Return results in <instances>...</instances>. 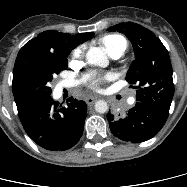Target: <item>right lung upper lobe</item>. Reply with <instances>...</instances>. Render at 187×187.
I'll return each mask as SVG.
<instances>
[{
  "label": "right lung upper lobe",
  "instance_id": "right-lung-upper-lobe-1",
  "mask_svg": "<svg viewBox=\"0 0 187 187\" xmlns=\"http://www.w3.org/2000/svg\"><path fill=\"white\" fill-rule=\"evenodd\" d=\"M94 33H79L69 35L54 30H48L40 33L36 38L28 41L18 54L29 51H38L42 53H53L58 55H68L72 49L79 44L87 41ZM20 106L22 104H16Z\"/></svg>",
  "mask_w": 187,
  "mask_h": 187
}]
</instances>
